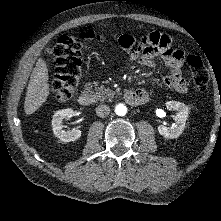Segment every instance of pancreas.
I'll list each match as a JSON object with an SVG mask.
<instances>
[{
  "mask_svg": "<svg viewBox=\"0 0 221 221\" xmlns=\"http://www.w3.org/2000/svg\"><path fill=\"white\" fill-rule=\"evenodd\" d=\"M95 86L97 85L96 82L93 83ZM92 83H87L86 88L93 94L95 101H104L106 98L109 100L115 96V92L111 89L104 88L103 86H100L98 88L92 89Z\"/></svg>",
  "mask_w": 221,
  "mask_h": 221,
  "instance_id": "obj_1",
  "label": "pancreas"
}]
</instances>
